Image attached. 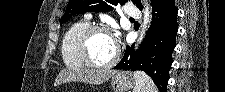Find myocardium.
I'll use <instances>...</instances> for the list:
<instances>
[{
  "instance_id": "myocardium-1",
  "label": "myocardium",
  "mask_w": 225,
  "mask_h": 92,
  "mask_svg": "<svg viewBox=\"0 0 225 92\" xmlns=\"http://www.w3.org/2000/svg\"><path fill=\"white\" fill-rule=\"evenodd\" d=\"M97 32H106L113 37L111 30L102 25V24H94L86 27L76 38L74 48L77 56L79 57L81 63L88 68L91 69H108L113 67L120 58V49L117 44L116 51L114 57L107 63L98 64L93 61L88 53V43L93 34Z\"/></svg>"
}]
</instances>
